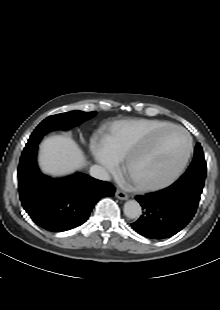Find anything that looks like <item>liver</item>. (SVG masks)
Returning <instances> with one entry per match:
<instances>
[{
	"label": "liver",
	"instance_id": "obj_1",
	"mask_svg": "<svg viewBox=\"0 0 220 310\" xmlns=\"http://www.w3.org/2000/svg\"><path fill=\"white\" fill-rule=\"evenodd\" d=\"M39 165L46 174L62 176L84 167L86 160L82 150L72 138L55 135L42 142Z\"/></svg>",
	"mask_w": 220,
	"mask_h": 310
}]
</instances>
